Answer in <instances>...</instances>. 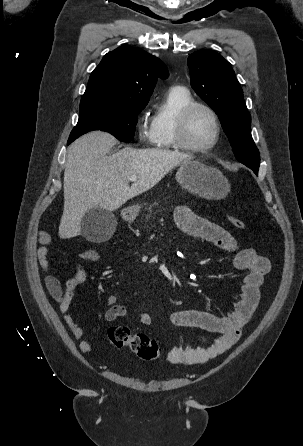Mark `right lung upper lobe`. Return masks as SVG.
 <instances>
[{"label":"right lung upper lobe","mask_w":303,"mask_h":446,"mask_svg":"<svg viewBox=\"0 0 303 446\" xmlns=\"http://www.w3.org/2000/svg\"><path fill=\"white\" fill-rule=\"evenodd\" d=\"M157 77H168L160 59L140 48L121 46L107 53L93 70L80 105L146 106Z\"/></svg>","instance_id":"right-lung-upper-lobe-1"}]
</instances>
